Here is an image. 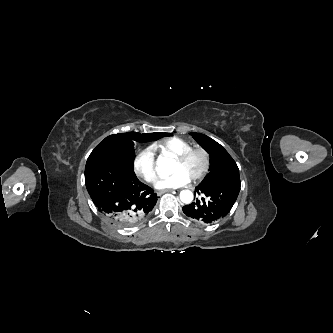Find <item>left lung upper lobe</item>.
<instances>
[{"label":"left lung upper lobe","instance_id":"1","mask_svg":"<svg viewBox=\"0 0 333 333\" xmlns=\"http://www.w3.org/2000/svg\"><path fill=\"white\" fill-rule=\"evenodd\" d=\"M197 143L204 148L211 156L210 172L199 184L209 186L212 183L226 180L233 177L239 178V169L236 162L228 152L212 138L201 133H190Z\"/></svg>","mask_w":333,"mask_h":333}]
</instances>
